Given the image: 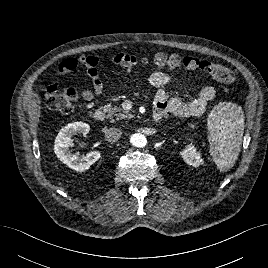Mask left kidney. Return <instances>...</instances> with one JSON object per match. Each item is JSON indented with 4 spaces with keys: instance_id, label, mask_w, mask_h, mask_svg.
<instances>
[{
    "instance_id": "obj_1",
    "label": "left kidney",
    "mask_w": 268,
    "mask_h": 268,
    "mask_svg": "<svg viewBox=\"0 0 268 268\" xmlns=\"http://www.w3.org/2000/svg\"><path fill=\"white\" fill-rule=\"evenodd\" d=\"M183 160L192 167H198L203 164V159H201L200 153L197 152L193 144H189L186 148L180 152Z\"/></svg>"
}]
</instances>
